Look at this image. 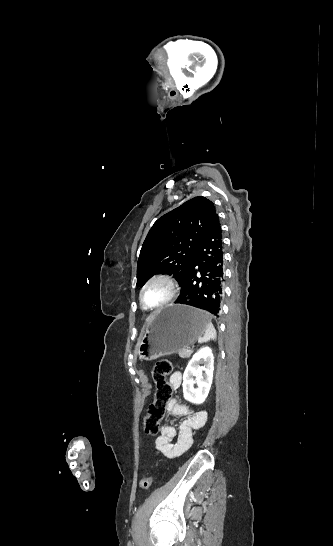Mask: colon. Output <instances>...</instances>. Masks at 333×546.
I'll use <instances>...</instances> for the list:
<instances>
[{"mask_svg": "<svg viewBox=\"0 0 333 546\" xmlns=\"http://www.w3.org/2000/svg\"><path fill=\"white\" fill-rule=\"evenodd\" d=\"M173 370V364L167 359L156 362L152 369V379L156 385L155 400L149 406L144 418V431L148 436H155L161 429V422L165 417L166 406L173 396V386L168 376ZM153 484V477H145L140 481L142 489H149Z\"/></svg>", "mask_w": 333, "mask_h": 546, "instance_id": "5ec220e1", "label": "colon"}]
</instances>
